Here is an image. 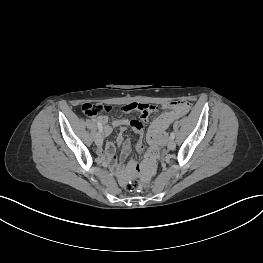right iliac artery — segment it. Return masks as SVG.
I'll use <instances>...</instances> for the list:
<instances>
[{
	"label": "right iliac artery",
	"mask_w": 263,
	"mask_h": 263,
	"mask_svg": "<svg viewBox=\"0 0 263 263\" xmlns=\"http://www.w3.org/2000/svg\"><path fill=\"white\" fill-rule=\"evenodd\" d=\"M97 126H98L99 131L101 132L103 127H102L101 123H99L98 121H97Z\"/></svg>",
	"instance_id": "82829eb1"
}]
</instances>
